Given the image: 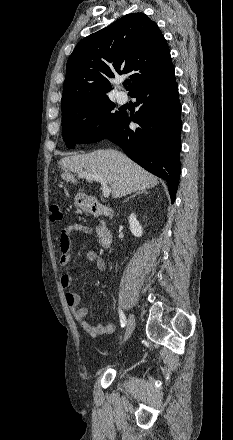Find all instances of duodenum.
I'll return each mask as SVG.
<instances>
[{
    "mask_svg": "<svg viewBox=\"0 0 233 440\" xmlns=\"http://www.w3.org/2000/svg\"><path fill=\"white\" fill-rule=\"evenodd\" d=\"M90 214L96 217H110L113 214V210L106 205L96 202L90 207ZM98 241L100 246L109 247L113 241V235L110 230L101 226L98 232Z\"/></svg>",
    "mask_w": 233,
    "mask_h": 440,
    "instance_id": "obj_1",
    "label": "duodenum"
}]
</instances>
